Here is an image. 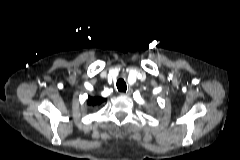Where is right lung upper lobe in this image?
Listing matches in <instances>:
<instances>
[{
  "label": "right lung upper lobe",
  "instance_id": "obj_1",
  "mask_svg": "<svg viewBox=\"0 0 240 160\" xmlns=\"http://www.w3.org/2000/svg\"><path fill=\"white\" fill-rule=\"evenodd\" d=\"M104 100L105 99H103L101 97H92V98H89L87 102L89 105H96V104H100Z\"/></svg>",
  "mask_w": 240,
  "mask_h": 160
}]
</instances>
